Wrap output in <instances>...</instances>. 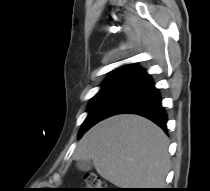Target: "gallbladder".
<instances>
[{"instance_id":"gallbladder-1","label":"gallbladder","mask_w":210,"mask_h":191,"mask_svg":"<svg viewBox=\"0 0 210 191\" xmlns=\"http://www.w3.org/2000/svg\"><path fill=\"white\" fill-rule=\"evenodd\" d=\"M76 167L81 171H89L92 169V163L89 160H78L76 162Z\"/></svg>"}]
</instances>
